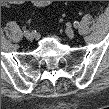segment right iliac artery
I'll list each match as a JSON object with an SVG mask.
<instances>
[{
	"label": "right iliac artery",
	"instance_id": "1",
	"mask_svg": "<svg viewBox=\"0 0 109 109\" xmlns=\"http://www.w3.org/2000/svg\"><path fill=\"white\" fill-rule=\"evenodd\" d=\"M29 33V31H24V35H26V34H28Z\"/></svg>",
	"mask_w": 109,
	"mask_h": 109
}]
</instances>
